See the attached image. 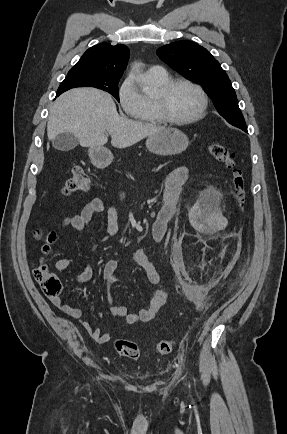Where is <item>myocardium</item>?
Listing matches in <instances>:
<instances>
[{
	"mask_svg": "<svg viewBox=\"0 0 287 434\" xmlns=\"http://www.w3.org/2000/svg\"><path fill=\"white\" fill-rule=\"evenodd\" d=\"M178 85H186L194 89L200 97V107L191 117L185 119H175L171 117L166 109L165 98L168 93ZM157 113L162 121L172 125H187L196 122L204 117L208 107V97L204 89L195 82L184 78H172L158 87L157 94L153 97Z\"/></svg>",
	"mask_w": 287,
	"mask_h": 434,
	"instance_id": "obj_1",
	"label": "myocardium"
}]
</instances>
